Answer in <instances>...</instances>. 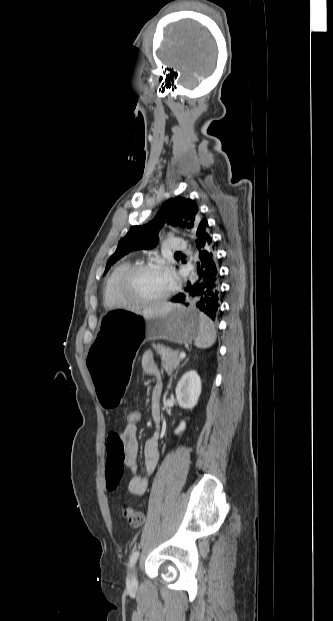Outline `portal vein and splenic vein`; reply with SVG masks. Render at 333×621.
Here are the masks:
<instances>
[{"instance_id":"1","label":"portal vein and splenic vein","mask_w":333,"mask_h":621,"mask_svg":"<svg viewBox=\"0 0 333 621\" xmlns=\"http://www.w3.org/2000/svg\"><path fill=\"white\" fill-rule=\"evenodd\" d=\"M180 359H183L186 357V354L184 352H181L178 356Z\"/></svg>"}]
</instances>
